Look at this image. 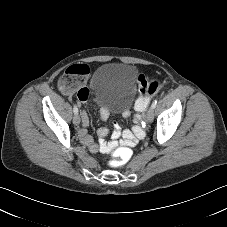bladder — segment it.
<instances>
[{"mask_svg":"<svg viewBox=\"0 0 227 227\" xmlns=\"http://www.w3.org/2000/svg\"><path fill=\"white\" fill-rule=\"evenodd\" d=\"M138 75L137 68L130 64L107 63L99 67L91 84V94L96 104L106 109L128 108L137 91ZM103 94L107 98H103Z\"/></svg>","mask_w":227,"mask_h":227,"instance_id":"1","label":"bladder"}]
</instances>
